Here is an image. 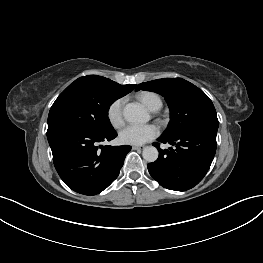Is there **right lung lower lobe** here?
Returning <instances> with one entry per match:
<instances>
[{"instance_id": "right-lung-lower-lobe-1", "label": "right lung lower lobe", "mask_w": 263, "mask_h": 263, "mask_svg": "<svg viewBox=\"0 0 263 263\" xmlns=\"http://www.w3.org/2000/svg\"><path fill=\"white\" fill-rule=\"evenodd\" d=\"M53 162L61 179L72 190L92 196L106 189L119 175L131 147L102 146L117 136L84 129H60L47 134Z\"/></svg>"}]
</instances>
